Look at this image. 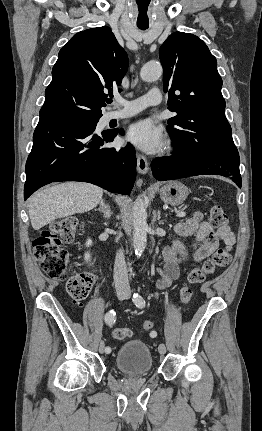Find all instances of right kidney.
I'll use <instances>...</instances> for the list:
<instances>
[{
	"mask_svg": "<svg viewBox=\"0 0 262 431\" xmlns=\"http://www.w3.org/2000/svg\"><path fill=\"white\" fill-rule=\"evenodd\" d=\"M92 245V240L91 239H88L87 241H86V246L87 247H89V246H91ZM90 259V253H85V260L86 261H88Z\"/></svg>",
	"mask_w": 262,
	"mask_h": 431,
	"instance_id": "ca27d5eb",
	"label": "right kidney"
}]
</instances>
